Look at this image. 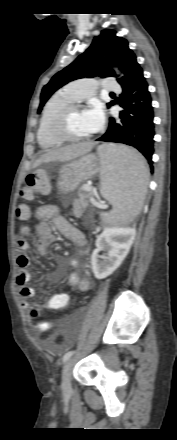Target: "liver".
<instances>
[{
	"label": "liver",
	"instance_id": "1",
	"mask_svg": "<svg viewBox=\"0 0 177 440\" xmlns=\"http://www.w3.org/2000/svg\"><path fill=\"white\" fill-rule=\"evenodd\" d=\"M93 147V142H81L67 145L58 149H52L47 151L39 159H37L33 167H37L42 163H49L52 161H69L85 155L86 153L90 152Z\"/></svg>",
	"mask_w": 177,
	"mask_h": 440
}]
</instances>
